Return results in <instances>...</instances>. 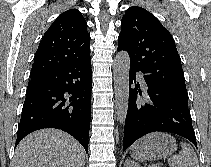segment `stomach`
<instances>
[{"instance_id": "stomach-1", "label": "stomach", "mask_w": 211, "mask_h": 167, "mask_svg": "<svg viewBox=\"0 0 211 167\" xmlns=\"http://www.w3.org/2000/svg\"><path fill=\"white\" fill-rule=\"evenodd\" d=\"M177 148L169 134L152 133L137 141L130 149L131 157L140 161H153L170 156Z\"/></svg>"}]
</instances>
